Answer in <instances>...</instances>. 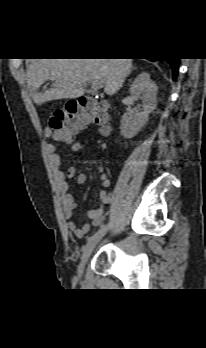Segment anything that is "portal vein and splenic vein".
<instances>
[{
    "mask_svg": "<svg viewBox=\"0 0 206 348\" xmlns=\"http://www.w3.org/2000/svg\"><path fill=\"white\" fill-rule=\"evenodd\" d=\"M93 89H99L102 87V82L100 80H93L90 82Z\"/></svg>",
    "mask_w": 206,
    "mask_h": 348,
    "instance_id": "portal-vein-and-splenic-vein-1",
    "label": "portal vein and splenic vein"
}]
</instances>
